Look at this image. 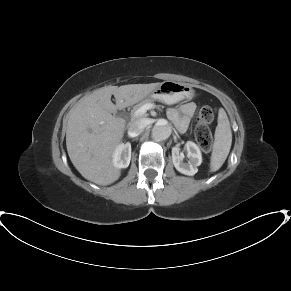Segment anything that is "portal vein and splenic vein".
Returning <instances> with one entry per match:
<instances>
[{
  "mask_svg": "<svg viewBox=\"0 0 291 291\" xmlns=\"http://www.w3.org/2000/svg\"><path fill=\"white\" fill-rule=\"evenodd\" d=\"M152 107H153V104L151 103L145 104L141 106L139 109H137L133 115L135 117L143 116L148 110L152 109Z\"/></svg>",
  "mask_w": 291,
  "mask_h": 291,
  "instance_id": "portal-vein-and-splenic-vein-1",
  "label": "portal vein and splenic vein"
}]
</instances>
